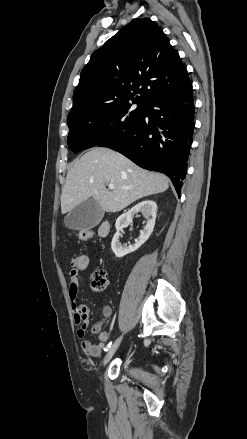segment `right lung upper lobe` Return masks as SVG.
Instances as JSON below:
<instances>
[{
    "instance_id": "right-lung-upper-lobe-1",
    "label": "right lung upper lobe",
    "mask_w": 247,
    "mask_h": 439,
    "mask_svg": "<svg viewBox=\"0 0 247 439\" xmlns=\"http://www.w3.org/2000/svg\"><path fill=\"white\" fill-rule=\"evenodd\" d=\"M191 84L178 52L148 18L135 19L96 50L82 69L68 117L123 100L147 104ZM141 88L139 89V87Z\"/></svg>"
}]
</instances>
